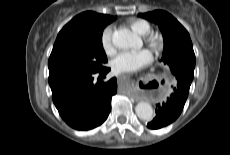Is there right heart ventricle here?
<instances>
[{
	"label": "right heart ventricle",
	"instance_id": "obj_1",
	"mask_svg": "<svg viewBox=\"0 0 230 155\" xmlns=\"http://www.w3.org/2000/svg\"><path fill=\"white\" fill-rule=\"evenodd\" d=\"M130 27L140 35H146L151 31L150 23L143 19L131 20Z\"/></svg>",
	"mask_w": 230,
	"mask_h": 155
}]
</instances>
